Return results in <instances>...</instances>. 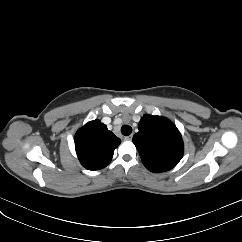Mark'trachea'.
<instances>
[{
    "label": "trachea",
    "instance_id": "trachea-1",
    "mask_svg": "<svg viewBox=\"0 0 242 242\" xmlns=\"http://www.w3.org/2000/svg\"><path fill=\"white\" fill-rule=\"evenodd\" d=\"M121 133L124 135V136H128L132 133V127L129 126V125H123L121 127Z\"/></svg>",
    "mask_w": 242,
    "mask_h": 242
}]
</instances>
